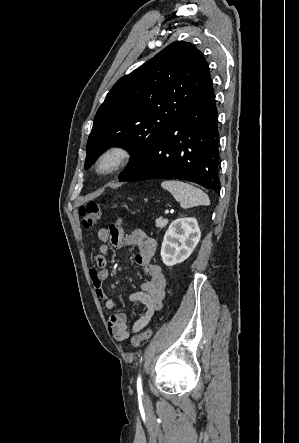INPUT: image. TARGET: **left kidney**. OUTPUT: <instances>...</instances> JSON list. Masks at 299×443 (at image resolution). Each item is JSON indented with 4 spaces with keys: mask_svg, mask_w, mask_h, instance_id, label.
<instances>
[{
    "mask_svg": "<svg viewBox=\"0 0 299 443\" xmlns=\"http://www.w3.org/2000/svg\"><path fill=\"white\" fill-rule=\"evenodd\" d=\"M201 232L195 218L174 220L164 235L161 258L166 266L185 261L200 241Z\"/></svg>",
    "mask_w": 299,
    "mask_h": 443,
    "instance_id": "1",
    "label": "left kidney"
}]
</instances>
